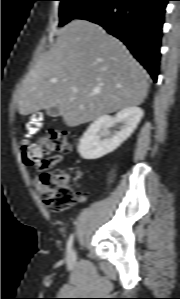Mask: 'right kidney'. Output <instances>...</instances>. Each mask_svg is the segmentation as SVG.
I'll list each match as a JSON object with an SVG mask.
<instances>
[{
    "mask_svg": "<svg viewBox=\"0 0 180 299\" xmlns=\"http://www.w3.org/2000/svg\"><path fill=\"white\" fill-rule=\"evenodd\" d=\"M142 117L143 110L139 107L125 108L114 117L100 116L83 134L78 145L79 154L84 159L92 160L113 152L133 133ZM118 122H123L124 126L111 136L107 129Z\"/></svg>",
    "mask_w": 180,
    "mask_h": 299,
    "instance_id": "obj_1",
    "label": "right kidney"
}]
</instances>
